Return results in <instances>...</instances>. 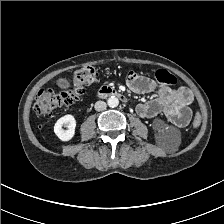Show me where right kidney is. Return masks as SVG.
Returning a JSON list of instances; mask_svg holds the SVG:
<instances>
[{
  "label": "right kidney",
  "mask_w": 224,
  "mask_h": 224,
  "mask_svg": "<svg viewBox=\"0 0 224 224\" xmlns=\"http://www.w3.org/2000/svg\"><path fill=\"white\" fill-rule=\"evenodd\" d=\"M66 126L67 130L62 127ZM76 120L74 116L68 114L57 120L54 126V132L61 141H69L75 135Z\"/></svg>",
  "instance_id": "right-kidney-1"
}]
</instances>
